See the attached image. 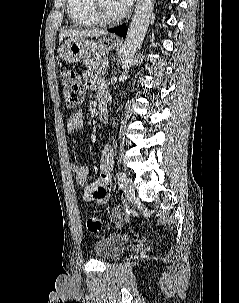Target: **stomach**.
<instances>
[{"label": "stomach", "instance_id": "obj_1", "mask_svg": "<svg viewBox=\"0 0 239 303\" xmlns=\"http://www.w3.org/2000/svg\"><path fill=\"white\" fill-rule=\"evenodd\" d=\"M117 45L115 37H103L98 40L80 38L68 40L61 47L62 60L72 63L92 57L96 53H103L114 49Z\"/></svg>", "mask_w": 239, "mask_h": 303}]
</instances>
